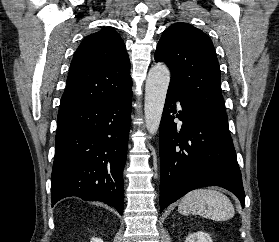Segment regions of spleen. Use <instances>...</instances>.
Wrapping results in <instances>:
<instances>
[{
    "label": "spleen",
    "mask_w": 279,
    "mask_h": 242,
    "mask_svg": "<svg viewBox=\"0 0 279 242\" xmlns=\"http://www.w3.org/2000/svg\"><path fill=\"white\" fill-rule=\"evenodd\" d=\"M181 214H195L214 221H225L235 214L230 199L214 189H196L187 193L178 205Z\"/></svg>",
    "instance_id": "obj_1"
}]
</instances>
